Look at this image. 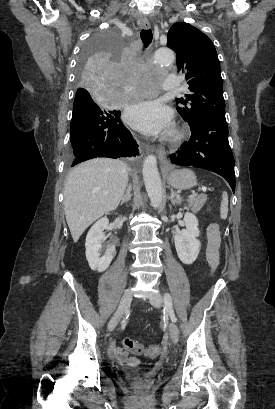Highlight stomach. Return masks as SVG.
<instances>
[{"label": "stomach", "mask_w": 275, "mask_h": 409, "mask_svg": "<svg viewBox=\"0 0 275 409\" xmlns=\"http://www.w3.org/2000/svg\"><path fill=\"white\" fill-rule=\"evenodd\" d=\"M168 184L173 188H192L196 184V176L190 168H173L167 176Z\"/></svg>", "instance_id": "obj_1"}]
</instances>
